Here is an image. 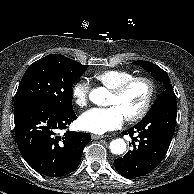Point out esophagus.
Masks as SVG:
<instances>
[{
	"label": "esophagus",
	"mask_w": 194,
	"mask_h": 194,
	"mask_svg": "<svg viewBox=\"0 0 194 194\" xmlns=\"http://www.w3.org/2000/svg\"><path fill=\"white\" fill-rule=\"evenodd\" d=\"M106 136L105 135H97V134H92L91 135V138L93 140H98V139H102V138H105Z\"/></svg>",
	"instance_id": "34e87169"
}]
</instances>
